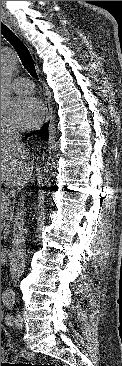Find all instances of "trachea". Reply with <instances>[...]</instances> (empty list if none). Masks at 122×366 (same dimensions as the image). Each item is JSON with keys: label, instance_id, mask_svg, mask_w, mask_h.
I'll return each mask as SVG.
<instances>
[{"label": "trachea", "instance_id": "1", "mask_svg": "<svg viewBox=\"0 0 122 366\" xmlns=\"http://www.w3.org/2000/svg\"><path fill=\"white\" fill-rule=\"evenodd\" d=\"M1 34L17 51V54L24 68L33 78L38 79V74L36 72L34 61L32 59L29 49L23 43V41H21V39L3 22H1Z\"/></svg>", "mask_w": 122, "mask_h": 366}]
</instances>
